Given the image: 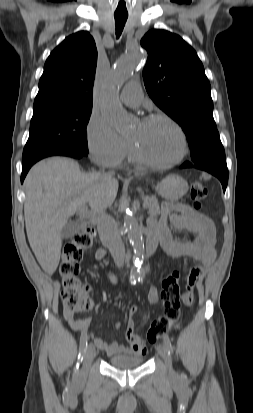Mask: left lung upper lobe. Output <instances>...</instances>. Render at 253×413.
Instances as JSON below:
<instances>
[{"label":"left lung upper lobe","mask_w":253,"mask_h":413,"mask_svg":"<svg viewBox=\"0 0 253 413\" xmlns=\"http://www.w3.org/2000/svg\"><path fill=\"white\" fill-rule=\"evenodd\" d=\"M141 45L148 52L143 70L146 90L182 127L193 164L226 161L213 119L210 83L195 50L180 36L159 29L147 32Z\"/></svg>","instance_id":"left-lung-upper-lobe-1"}]
</instances>
